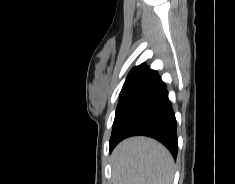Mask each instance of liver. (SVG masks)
<instances>
[{
    "label": "liver",
    "mask_w": 235,
    "mask_h": 184,
    "mask_svg": "<svg viewBox=\"0 0 235 184\" xmlns=\"http://www.w3.org/2000/svg\"><path fill=\"white\" fill-rule=\"evenodd\" d=\"M113 184H172L174 160L160 142L134 136L120 142L111 158Z\"/></svg>",
    "instance_id": "6515ba94"
}]
</instances>
